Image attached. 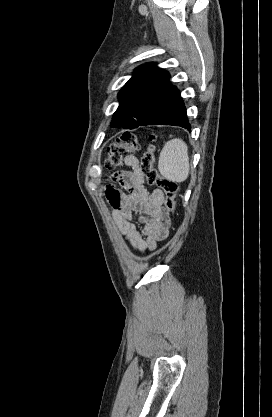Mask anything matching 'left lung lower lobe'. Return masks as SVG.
I'll use <instances>...</instances> for the list:
<instances>
[{"label":"left lung lower lobe","mask_w":272,"mask_h":417,"mask_svg":"<svg viewBox=\"0 0 272 417\" xmlns=\"http://www.w3.org/2000/svg\"><path fill=\"white\" fill-rule=\"evenodd\" d=\"M175 125L190 130L186 108L177 87L141 125Z\"/></svg>","instance_id":"left-lung-lower-lobe-1"}]
</instances>
